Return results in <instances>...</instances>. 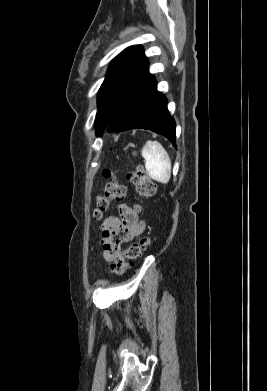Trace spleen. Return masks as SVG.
<instances>
[{
    "label": "spleen",
    "instance_id": "obj_1",
    "mask_svg": "<svg viewBox=\"0 0 267 391\" xmlns=\"http://www.w3.org/2000/svg\"><path fill=\"white\" fill-rule=\"evenodd\" d=\"M150 178L166 184L171 177V160L167 151L157 141H147L141 151Z\"/></svg>",
    "mask_w": 267,
    "mask_h": 391
}]
</instances>
